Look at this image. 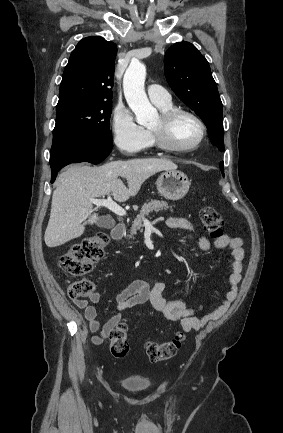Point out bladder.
I'll return each instance as SVG.
<instances>
[{"mask_svg": "<svg viewBox=\"0 0 283 433\" xmlns=\"http://www.w3.org/2000/svg\"><path fill=\"white\" fill-rule=\"evenodd\" d=\"M120 385L126 386L132 393H139L150 386V381L144 376L130 374L120 380Z\"/></svg>", "mask_w": 283, "mask_h": 433, "instance_id": "obj_1", "label": "bladder"}]
</instances>
